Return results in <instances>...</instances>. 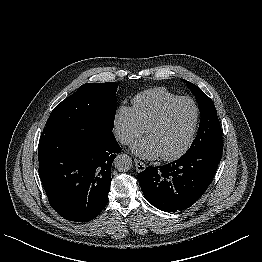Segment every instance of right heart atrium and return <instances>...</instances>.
<instances>
[{"label": "right heart atrium", "instance_id": "d8ad5b80", "mask_svg": "<svg viewBox=\"0 0 262 262\" xmlns=\"http://www.w3.org/2000/svg\"><path fill=\"white\" fill-rule=\"evenodd\" d=\"M113 132L116 139L124 145L141 136L144 128L135 116L132 107L120 105L113 116Z\"/></svg>", "mask_w": 262, "mask_h": 262}]
</instances>
